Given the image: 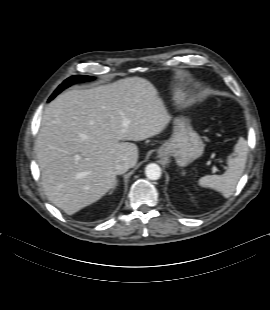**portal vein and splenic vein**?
<instances>
[{
	"mask_svg": "<svg viewBox=\"0 0 270 310\" xmlns=\"http://www.w3.org/2000/svg\"><path fill=\"white\" fill-rule=\"evenodd\" d=\"M217 169H216V167L215 166H213V171H216Z\"/></svg>",
	"mask_w": 270,
	"mask_h": 310,
	"instance_id": "obj_1",
	"label": "portal vein and splenic vein"
}]
</instances>
